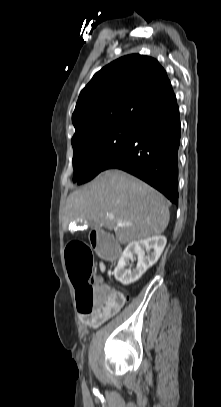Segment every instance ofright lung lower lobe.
I'll return each instance as SVG.
<instances>
[{"label":"right lung lower lobe","instance_id":"right-lung-lower-lobe-1","mask_svg":"<svg viewBox=\"0 0 221 407\" xmlns=\"http://www.w3.org/2000/svg\"><path fill=\"white\" fill-rule=\"evenodd\" d=\"M180 119L176 97L141 119L118 153L105 165L147 182L178 204Z\"/></svg>","mask_w":221,"mask_h":407}]
</instances>
